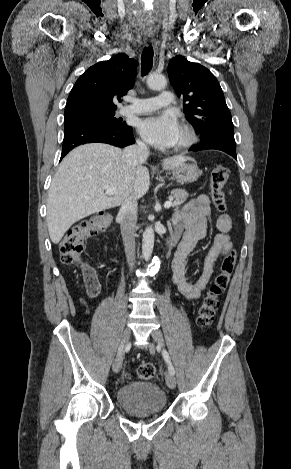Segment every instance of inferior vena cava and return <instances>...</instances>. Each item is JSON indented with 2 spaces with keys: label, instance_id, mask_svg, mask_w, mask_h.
Wrapping results in <instances>:
<instances>
[{
  "label": "inferior vena cava",
  "instance_id": "1",
  "mask_svg": "<svg viewBox=\"0 0 291 469\" xmlns=\"http://www.w3.org/2000/svg\"><path fill=\"white\" fill-rule=\"evenodd\" d=\"M149 156L147 145L138 140L135 145L126 147L123 157L126 163L132 168L144 163ZM137 200L130 196L123 204L118 213L120 220L121 234L125 248V254L129 266L135 264V227H136Z\"/></svg>",
  "mask_w": 291,
  "mask_h": 469
}]
</instances>
